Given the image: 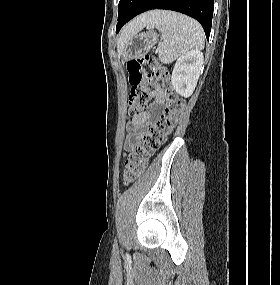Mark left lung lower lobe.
<instances>
[{"instance_id":"1","label":"left lung lower lobe","mask_w":280,"mask_h":285,"mask_svg":"<svg viewBox=\"0 0 280 285\" xmlns=\"http://www.w3.org/2000/svg\"><path fill=\"white\" fill-rule=\"evenodd\" d=\"M214 0H138L124 23L117 27L118 32L121 27L138 14L152 9H167L181 12L198 20L202 25L206 37L209 38Z\"/></svg>"}]
</instances>
